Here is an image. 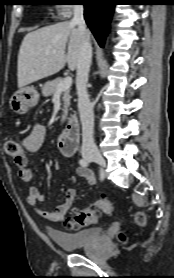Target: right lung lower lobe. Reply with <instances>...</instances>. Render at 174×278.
I'll return each instance as SVG.
<instances>
[{"label":"right lung lower lobe","instance_id":"98d812e1","mask_svg":"<svg viewBox=\"0 0 174 278\" xmlns=\"http://www.w3.org/2000/svg\"><path fill=\"white\" fill-rule=\"evenodd\" d=\"M86 23L100 46L104 45L116 0H81Z\"/></svg>","mask_w":174,"mask_h":278}]
</instances>
